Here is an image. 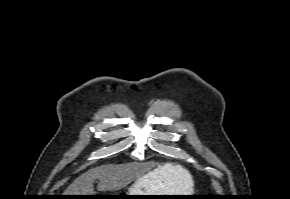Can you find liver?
<instances>
[{
  "mask_svg": "<svg viewBox=\"0 0 290 199\" xmlns=\"http://www.w3.org/2000/svg\"><path fill=\"white\" fill-rule=\"evenodd\" d=\"M146 169L139 163L105 164L83 173L65 190L64 195H95L93 183L99 180V191L119 190L144 175ZM157 177L163 178L166 189L171 192L184 191L191 182L189 172L180 165L166 163L157 168Z\"/></svg>",
  "mask_w": 290,
  "mask_h": 199,
  "instance_id": "1",
  "label": "liver"
}]
</instances>
